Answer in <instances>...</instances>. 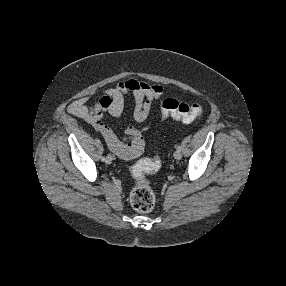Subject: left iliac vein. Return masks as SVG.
<instances>
[{
	"mask_svg": "<svg viewBox=\"0 0 286 286\" xmlns=\"http://www.w3.org/2000/svg\"><path fill=\"white\" fill-rule=\"evenodd\" d=\"M174 158L176 159V160H180L181 159V157H182V154H181V151H179V150H176L175 152H174Z\"/></svg>",
	"mask_w": 286,
	"mask_h": 286,
	"instance_id": "4c4485c4",
	"label": "left iliac vein"
}]
</instances>
